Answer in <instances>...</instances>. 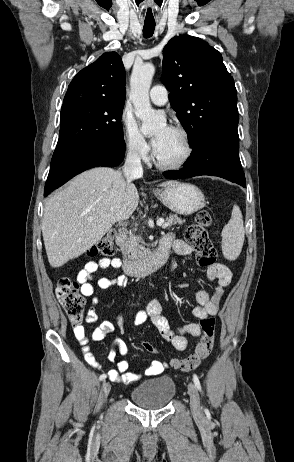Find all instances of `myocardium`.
<instances>
[{
    "mask_svg": "<svg viewBox=\"0 0 294 462\" xmlns=\"http://www.w3.org/2000/svg\"><path fill=\"white\" fill-rule=\"evenodd\" d=\"M171 129L178 132L182 136L184 143H185V153L177 161L163 162L158 158L156 151H154L153 157H154V162L156 166L164 170H176V169H180L184 167L190 161L193 155V152H194L193 141H192L191 135L188 132V130L180 125L171 126Z\"/></svg>",
    "mask_w": 294,
    "mask_h": 462,
    "instance_id": "myocardium-1",
    "label": "myocardium"
}]
</instances>
